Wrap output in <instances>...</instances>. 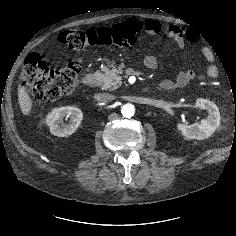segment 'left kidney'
<instances>
[{"mask_svg":"<svg viewBox=\"0 0 236 236\" xmlns=\"http://www.w3.org/2000/svg\"><path fill=\"white\" fill-rule=\"evenodd\" d=\"M195 105L200 109L206 110L208 116L192 125L179 123L177 128L188 139L204 140L209 138L220 126L219 108L212 101L203 98L196 99Z\"/></svg>","mask_w":236,"mask_h":236,"instance_id":"obj_1","label":"left kidney"}]
</instances>
